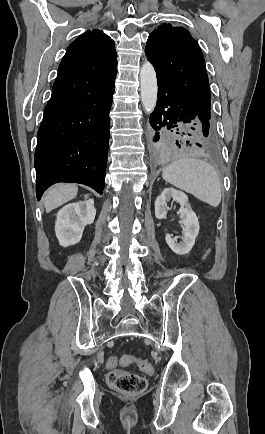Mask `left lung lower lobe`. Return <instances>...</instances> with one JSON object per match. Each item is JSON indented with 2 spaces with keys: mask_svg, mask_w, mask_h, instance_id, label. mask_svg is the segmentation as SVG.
Returning <instances> with one entry per match:
<instances>
[{
  "mask_svg": "<svg viewBox=\"0 0 265 434\" xmlns=\"http://www.w3.org/2000/svg\"><path fill=\"white\" fill-rule=\"evenodd\" d=\"M157 83V105L150 116L151 126L156 131L153 137L154 151L161 155H170L175 153L177 148L184 147V144L178 140L176 143L170 141L164 135V131L173 132L172 128H177L180 123H189L190 132L175 133L191 136L193 138L191 146L200 148L203 153H216L220 142L211 117L204 110L196 109L176 88L158 75ZM186 143L189 145L190 141Z\"/></svg>",
  "mask_w": 265,
  "mask_h": 434,
  "instance_id": "0a47b994",
  "label": "left lung lower lobe"
}]
</instances>
